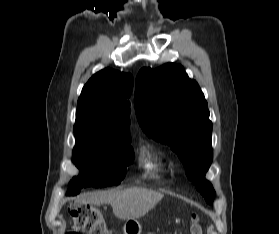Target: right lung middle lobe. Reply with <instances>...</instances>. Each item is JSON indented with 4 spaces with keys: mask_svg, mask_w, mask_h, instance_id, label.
<instances>
[{
    "mask_svg": "<svg viewBox=\"0 0 279 234\" xmlns=\"http://www.w3.org/2000/svg\"><path fill=\"white\" fill-rule=\"evenodd\" d=\"M76 145L73 162L80 174L69 183L68 195H76L83 187L118 185L125 177L126 167L134 158L131 138L101 139L74 126Z\"/></svg>",
    "mask_w": 279,
    "mask_h": 234,
    "instance_id": "1",
    "label": "right lung middle lobe"
}]
</instances>
